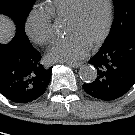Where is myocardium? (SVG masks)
Segmentation results:
<instances>
[{
    "instance_id": "1",
    "label": "myocardium",
    "mask_w": 135,
    "mask_h": 135,
    "mask_svg": "<svg viewBox=\"0 0 135 135\" xmlns=\"http://www.w3.org/2000/svg\"><path fill=\"white\" fill-rule=\"evenodd\" d=\"M83 1L84 0H77L75 2V4L73 5V8H72L70 14L67 16L66 20H74L78 16V13H79V10H80V7H81V4L83 3ZM106 4H107V18H106L105 27H104L102 33L100 34V36L90 44L91 47H96V46L100 45L102 42H104V40L107 38V36L110 33L112 21H113L112 0H106Z\"/></svg>"
}]
</instances>
